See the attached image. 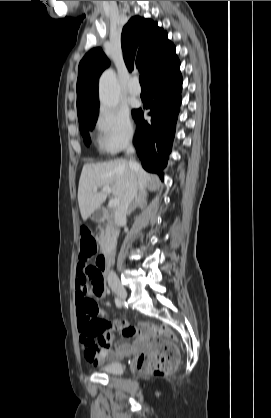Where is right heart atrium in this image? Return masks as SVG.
Returning a JSON list of instances; mask_svg holds the SVG:
<instances>
[{
  "label": "right heart atrium",
  "mask_w": 271,
  "mask_h": 418,
  "mask_svg": "<svg viewBox=\"0 0 271 418\" xmlns=\"http://www.w3.org/2000/svg\"><path fill=\"white\" fill-rule=\"evenodd\" d=\"M96 127L100 147L109 154L125 149L132 141L134 130L127 110L123 108L102 107Z\"/></svg>",
  "instance_id": "1"
}]
</instances>
